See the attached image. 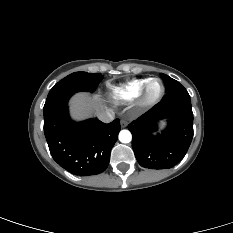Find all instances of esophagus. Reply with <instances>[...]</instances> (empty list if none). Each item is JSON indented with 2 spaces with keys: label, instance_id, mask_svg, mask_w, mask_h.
<instances>
[{
  "label": "esophagus",
  "instance_id": "1",
  "mask_svg": "<svg viewBox=\"0 0 233 233\" xmlns=\"http://www.w3.org/2000/svg\"><path fill=\"white\" fill-rule=\"evenodd\" d=\"M120 124H121V127H122V128H125V127L127 126L128 123H127L126 120L122 119L121 122H120Z\"/></svg>",
  "mask_w": 233,
  "mask_h": 233
}]
</instances>
